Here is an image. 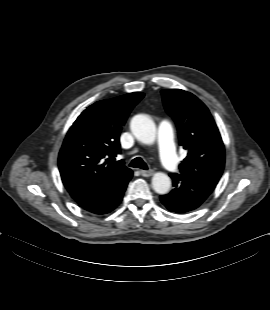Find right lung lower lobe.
I'll return each mask as SVG.
<instances>
[{
    "mask_svg": "<svg viewBox=\"0 0 270 310\" xmlns=\"http://www.w3.org/2000/svg\"><path fill=\"white\" fill-rule=\"evenodd\" d=\"M132 175L131 170L125 171L100 188L72 198L88 212L99 215L107 214L120 204Z\"/></svg>",
    "mask_w": 270,
    "mask_h": 310,
    "instance_id": "obj_1",
    "label": "right lung lower lobe"
}]
</instances>
